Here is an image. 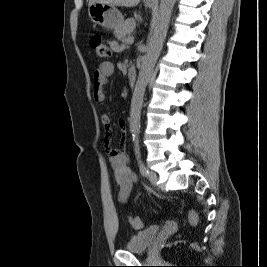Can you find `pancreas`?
<instances>
[{
  "instance_id": "1",
  "label": "pancreas",
  "mask_w": 267,
  "mask_h": 267,
  "mask_svg": "<svg viewBox=\"0 0 267 267\" xmlns=\"http://www.w3.org/2000/svg\"><path fill=\"white\" fill-rule=\"evenodd\" d=\"M136 27L134 18H129L122 23V25L115 30V35L119 40H125L126 36H130Z\"/></svg>"
}]
</instances>
